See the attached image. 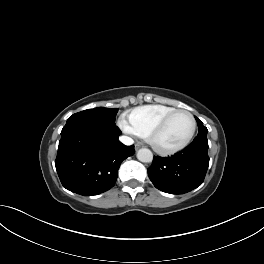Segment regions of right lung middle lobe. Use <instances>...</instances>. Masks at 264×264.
Listing matches in <instances>:
<instances>
[{
  "instance_id": "dd1d6c3e",
  "label": "right lung middle lobe",
  "mask_w": 264,
  "mask_h": 264,
  "mask_svg": "<svg viewBox=\"0 0 264 264\" xmlns=\"http://www.w3.org/2000/svg\"><path fill=\"white\" fill-rule=\"evenodd\" d=\"M116 108H94L84 110L73 114L67 120L68 122L73 121H89L103 125H115V114Z\"/></svg>"
}]
</instances>
